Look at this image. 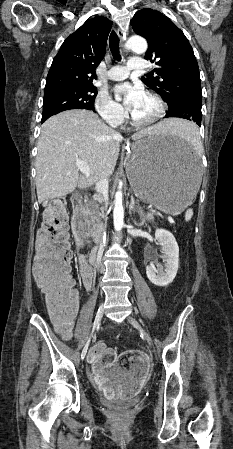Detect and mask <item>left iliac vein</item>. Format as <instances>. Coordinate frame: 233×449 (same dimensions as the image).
Listing matches in <instances>:
<instances>
[{
    "instance_id": "1",
    "label": "left iliac vein",
    "mask_w": 233,
    "mask_h": 449,
    "mask_svg": "<svg viewBox=\"0 0 233 449\" xmlns=\"http://www.w3.org/2000/svg\"><path fill=\"white\" fill-rule=\"evenodd\" d=\"M128 322L135 327L137 330L140 331V333L143 335V337L145 338L146 342L148 343L149 346H152V339L151 336L149 335V333L140 325V323L136 320L135 317L133 316H129L127 318Z\"/></svg>"
}]
</instances>
